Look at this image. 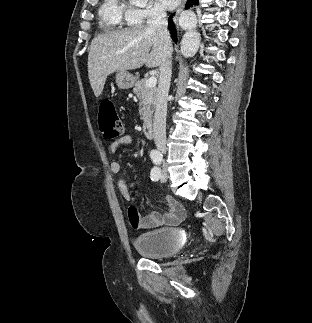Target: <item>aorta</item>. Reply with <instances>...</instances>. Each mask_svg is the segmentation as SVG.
<instances>
[{"instance_id":"aorta-1","label":"aorta","mask_w":312,"mask_h":323,"mask_svg":"<svg viewBox=\"0 0 312 323\" xmlns=\"http://www.w3.org/2000/svg\"><path fill=\"white\" fill-rule=\"evenodd\" d=\"M201 38L196 30H187L181 40V52L185 58H193L197 54Z\"/></svg>"}]
</instances>
